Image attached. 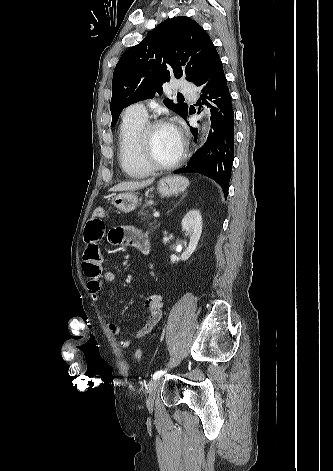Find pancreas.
I'll list each match as a JSON object with an SVG mask.
<instances>
[{
	"instance_id": "1",
	"label": "pancreas",
	"mask_w": 333,
	"mask_h": 471,
	"mask_svg": "<svg viewBox=\"0 0 333 471\" xmlns=\"http://www.w3.org/2000/svg\"><path fill=\"white\" fill-rule=\"evenodd\" d=\"M149 206H150L149 203H146V204L142 207V209L140 210V212H139V217H141L144 221H145L146 219H150V218L152 217L151 215H148V211H145V209H146L147 207H149ZM144 211H145V212H144ZM155 224H156V222H148V227H149L151 230L156 229V225H155Z\"/></svg>"
}]
</instances>
